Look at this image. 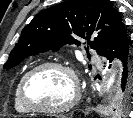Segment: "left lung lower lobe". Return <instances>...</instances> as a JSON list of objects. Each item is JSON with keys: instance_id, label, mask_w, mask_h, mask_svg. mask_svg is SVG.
<instances>
[{"instance_id": "1", "label": "left lung lower lobe", "mask_w": 133, "mask_h": 118, "mask_svg": "<svg viewBox=\"0 0 133 118\" xmlns=\"http://www.w3.org/2000/svg\"><path fill=\"white\" fill-rule=\"evenodd\" d=\"M100 55L104 56L109 62H111L113 56L120 58L123 65V72L117 90L123 92L124 90L130 89L132 96L133 52L123 24L115 31Z\"/></svg>"}]
</instances>
